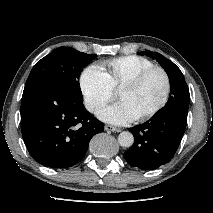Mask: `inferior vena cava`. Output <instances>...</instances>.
<instances>
[{
  "mask_svg": "<svg viewBox=\"0 0 213 213\" xmlns=\"http://www.w3.org/2000/svg\"><path fill=\"white\" fill-rule=\"evenodd\" d=\"M87 108H88L89 110H92V109H93V105L87 104Z\"/></svg>",
  "mask_w": 213,
  "mask_h": 213,
  "instance_id": "602c4592",
  "label": "inferior vena cava"
}]
</instances>
